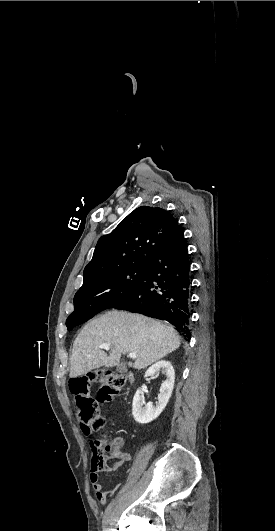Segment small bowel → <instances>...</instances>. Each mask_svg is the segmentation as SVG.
Masks as SVG:
<instances>
[{"mask_svg":"<svg viewBox=\"0 0 275 531\" xmlns=\"http://www.w3.org/2000/svg\"><path fill=\"white\" fill-rule=\"evenodd\" d=\"M84 433L86 435L89 434V429H84ZM90 445L92 446V448L100 445V442L96 439H91L90 440ZM119 458L121 460V465H122V462L123 461H130V455L126 452H121L119 454ZM114 470H117V469H112L111 471H114ZM90 480H91V483L93 485V488L95 490V499H96V502L100 505V506H105L107 504V501H108V498L110 496H112L117 488H118V485L112 487V488H105L104 485L102 483L99 482V475L95 476L93 474H91V477H90Z\"/></svg>","mask_w":275,"mask_h":531,"instance_id":"small-bowel-1","label":"small bowel"}]
</instances>
